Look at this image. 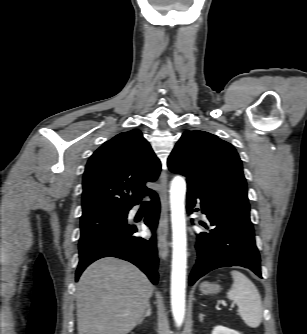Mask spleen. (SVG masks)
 Masks as SVG:
<instances>
[{"label": "spleen", "mask_w": 307, "mask_h": 334, "mask_svg": "<svg viewBox=\"0 0 307 334\" xmlns=\"http://www.w3.org/2000/svg\"><path fill=\"white\" fill-rule=\"evenodd\" d=\"M233 284L227 292L228 298L238 305L243 321L251 328H257L262 320L261 296L254 283L239 271H231Z\"/></svg>", "instance_id": "obj_1"}]
</instances>
